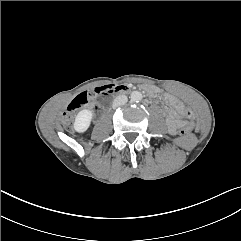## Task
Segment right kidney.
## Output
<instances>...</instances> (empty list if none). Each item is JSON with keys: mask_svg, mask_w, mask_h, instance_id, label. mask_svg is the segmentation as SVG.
<instances>
[{"mask_svg": "<svg viewBox=\"0 0 241 241\" xmlns=\"http://www.w3.org/2000/svg\"><path fill=\"white\" fill-rule=\"evenodd\" d=\"M93 118V112L89 109L81 110L75 117L73 129L78 133L87 131Z\"/></svg>", "mask_w": 241, "mask_h": 241, "instance_id": "1", "label": "right kidney"}]
</instances>
